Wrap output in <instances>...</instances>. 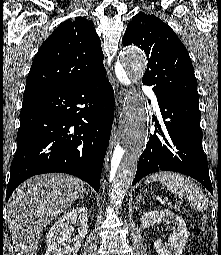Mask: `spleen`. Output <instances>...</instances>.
<instances>
[{"label": "spleen", "mask_w": 221, "mask_h": 255, "mask_svg": "<svg viewBox=\"0 0 221 255\" xmlns=\"http://www.w3.org/2000/svg\"><path fill=\"white\" fill-rule=\"evenodd\" d=\"M156 181L165 185L170 192L187 199L194 210L203 212L208 208V199L205 194L189 178L178 173L165 171L149 176L145 183L148 184Z\"/></svg>", "instance_id": "obj_1"}]
</instances>
